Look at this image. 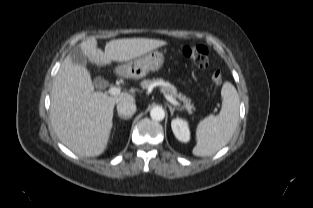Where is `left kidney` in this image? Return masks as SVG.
I'll return each mask as SVG.
<instances>
[{
  "label": "left kidney",
  "instance_id": "obj_1",
  "mask_svg": "<svg viewBox=\"0 0 313 208\" xmlns=\"http://www.w3.org/2000/svg\"><path fill=\"white\" fill-rule=\"evenodd\" d=\"M171 128L175 137L181 142H188L190 140V130L187 121L175 118L171 122Z\"/></svg>",
  "mask_w": 313,
  "mask_h": 208
}]
</instances>
